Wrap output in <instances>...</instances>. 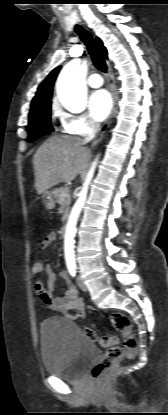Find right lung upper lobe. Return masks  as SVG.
<instances>
[{"label": "right lung upper lobe", "mask_w": 168, "mask_h": 415, "mask_svg": "<svg viewBox=\"0 0 168 415\" xmlns=\"http://www.w3.org/2000/svg\"><path fill=\"white\" fill-rule=\"evenodd\" d=\"M97 43L102 54L105 58H107V51L99 38H97ZM60 68L61 66H58L52 70L47 78L39 85L36 95L32 100L30 112L45 105L51 104L53 85Z\"/></svg>", "instance_id": "cb5924a9"}]
</instances>
